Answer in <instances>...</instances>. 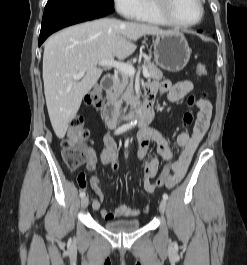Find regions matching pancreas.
Returning <instances> with one entry per match:
<instances>
[{
    "mask_svg": "<svg viewBox=\"0 0 247 265\" xmlns=\"http://www.w3.org/2000/svg\"><path fill=\"white\" fill-rule=\"evenodd\" d=\"M144 67L147 68L150 78L154 80L163 79V73L150 60L144 61ZM133 76L122 75L121 78L115 79L111 102L115 108H120L123 101L131 103L134 100Z\"/></svg>",
    "mask_w": 247,
    "mask_h": 265,
    "instance_id": "cf45deb5",
    "label": "pancreas"
}]
</instances>
